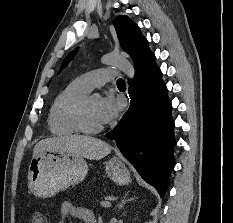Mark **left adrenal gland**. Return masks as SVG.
I'll return each mask as SVG.
<instances>
[{
    "mask_svg": "<svg viewBox=\"0 0 233 223\" xmlns=\"http://www.w3.org/2000/svg\"><path fill=\"white\" fill-rule=\"evenodd\" d=\"M125 195H128V193H125ZM132 199V197H131ZM125 201H130V199H122L121 203H119V209H121V207H123Z\"/></svg>",
    "mask_w": 233,
    "mask_h": 223,
    "instance_id": "1",
    "label": "left adrenal gland"
}]
</instances>
